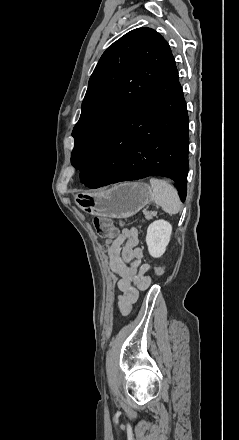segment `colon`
I'll return each mask as SVG.
<instances>
[{
    "mask_svg": "<svg viewBox=\"0 0 239 440\" xmlns=\"http://www.w3.org/2000/svg\"><path fill=\"white\" fill-rule=\"evenodd\" d=\"M94 227L99 236L106 240H110L114 237L115 226L112 219L107 217H96L93 220ZM164 273L163 266H156L154 269L155 275H162Z\"/></svg>",
    "mask_w": 239,
    "mask_h": 440,
    "instance_id": "obj_1",
    "label": "colon"
}]
</instances>
